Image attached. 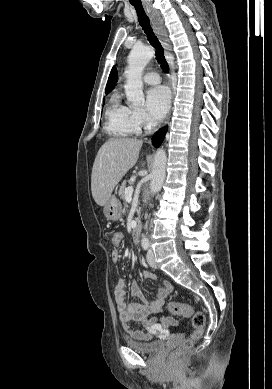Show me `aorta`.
I'll use <instances>...</instances> for the list:
<instances>
[{
    "instance_id": "1",
    "label": "aorta",
    "mask_w": 272,
    "mask_h": 389,
    "mask_svg": "<svg viewBox=\"0 0 272 389\" xmlns=\"http://www.w3.org/2000/svg\"><path fill=\"white\" fill-rule=\"evenodd\" d=\"M154 49L150 46H134L128 56L126 70L125 92L127 100L134 106L144 103L142 72L154 56ZM167 156L163 148L157 150L151 173L150 191L156 194L161 190L166 173ZM143 240H146L145 238Z\"/></svg>"
}]
</instances>
